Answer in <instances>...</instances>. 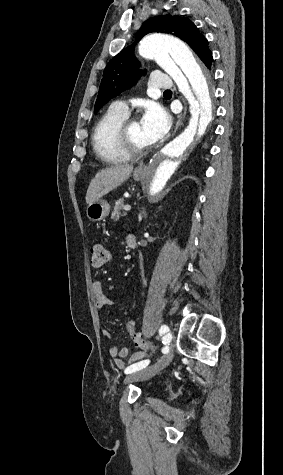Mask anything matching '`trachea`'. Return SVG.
Wrapping results in <instances>:
<instances>
[{"label":"trachea","instance_id":"1","mask_svg":"<svg viewBox=\"0 0 283 475\" xmlns=\"http://www.w3.org/2000/svg\"><path fill=\"white\" fill-rule=\"evenodd\" d=\"M164 94L172 95V92H171V90H165V91H164Z\"/></svg>","mask_w":283,"mask_h":475}]
</instances>
